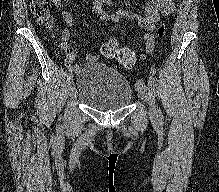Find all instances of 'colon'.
<instances>
[{"label":"colon","instance_id":"5ec220e1","mask_svg":"<svg viewBox=\"0 0 219 192\" xmlns=\"http://www.w3.org/2000/svg\"><path fill=\"white\" fill-rule=\"evenodd\" d=\"M30 10L38 23L51 29L53 27V19L51 13L50 0H32ZM164 34V26L158 28V35ZM100 53L105 58L115 59L122 66L131 68L136 63V55L134 50L128 46H120L115 39H110L102 44Z\"/></svg>","mask_w":219,"mask_h":192}]
</instances>
